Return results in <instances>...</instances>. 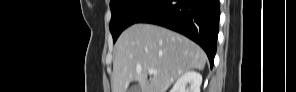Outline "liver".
Segmentation results:
<instances>
[{"label":"liver","mask_w":296,"mask_h":92,"mask_svg":"<svg viewBox=\"0 0 296 92\" xmlns=\"http://www.w3.org/2000/svg\"><path fill=\"white\" fill-rule=\"evenodd\" d=\"M206 59L201 47L179 33L134 24L115 44L112 92H126L133 81L139 83L140 92H166L184 72L203 70ZM149 69L157 74H149Z\"/></svg>","instance_id":"liver-1"}]
</instances>
